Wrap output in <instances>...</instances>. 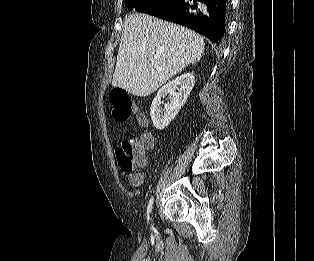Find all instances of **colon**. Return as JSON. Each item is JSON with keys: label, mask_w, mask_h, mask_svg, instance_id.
Here are the masks:
<instances>
[{"label": "colon", "mask_w": 314, "mask_h": 261, "mask_svg": "<svg viewBox=\"0 0 314 261\" xmlns=\"http://www.w3.org/2000/svg\"><path fill=\"white\" fill-rule=\"evenodd\" d=\"M112 107V117L117 122H126L137 112V105L130 94L123 88H114L109 94ZM153 145L149 134L140 137L124 139L116 149L118 164L123 174L130 176L132 184H139L142 176L136 170L139 168L142 156Z\"/></svg>", "instance_id": "obj_1"}]
</instances>
